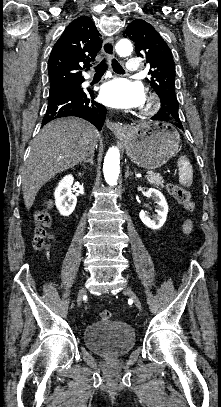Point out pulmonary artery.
Returning <instances> with one entry per match:
<instances>
[{
  "label": "pulmonary artery",
  "instance_id": "obj_1",
  "mask_svg": "<svg viewBox=\"0 0 221 407\" xmlns=\"http://www.w3.org/2000/svg\"><path fill=\"white\" fill-rule=\"evenodd\" d=\"M127 72L130 74L138 73L139 62L136 58H129L126 62Z\"/></svg>",
  "mask_w": 221,
  "mask_h": 407
}]
</instances>
